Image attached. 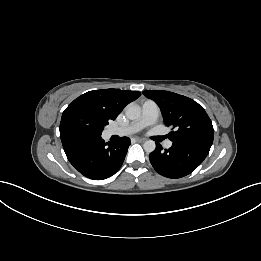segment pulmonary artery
<instances>
[{
	"label": "pulmonary artery",
	"mask_w": 261,
	"mask_h": 261,
	"mask_svg": "<svg viewBox=\"0 0 261 261\" xmlns=\"http://www.w3.org/2000/svg\"><path fill=\"white\" fill-rule=\"evenodd\" d=\"M159 114V108L155 101L153 100H146L142 104V114L141 117L123 127H113L108 129L107 134L109 136L112 135H119V136H126L133 133L138 132L142 128L152 125L156 122ZM172 146V141L168 140L165 142V147L170 148Z\"/></svg>",
	"instance_id": "1"
}]
</instances>
